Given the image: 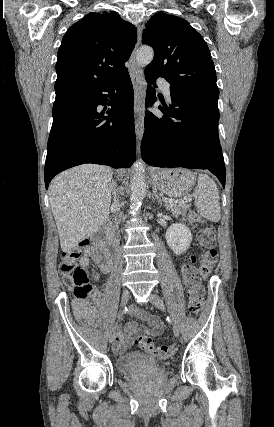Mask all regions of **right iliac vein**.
Returning <instances> with one entry per match:
<instances>
[{
  "instance_id": "1",
  "label": "right iliac vein",
  "mask_w": 274,
  "mask_h": 427,
  "mask_svg": "<svg viewBox=\"0 0 274 427\" xmlns=\"http://www.w3.org/2000/svg\"><path fill=\"white\" fill-rule=\"evenodd\" d=\"M130 298V293L128 289H124L122 292V297H121V306H125L126 303L128 302ZM115 341H116V326H114L109 334V342L111 344V346L113 347L115 345Z\"/></svg>"
}]
</instances>
